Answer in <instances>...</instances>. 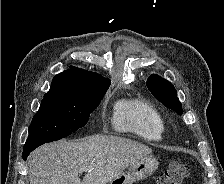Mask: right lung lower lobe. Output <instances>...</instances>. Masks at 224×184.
I'll return each instance as SVG.
<instances>
[{"mask_svg":"<svg viewBox=\"0 0 224 184\" xmlns=\"http://www.w3.org/2000/svg\"><path fill=\"white\" fill-rule=\"evenodd\" d=\"M34 149L33 148H29V149H26L24 148L23 149V159L26 160L27 156L30 154L31 151H33Z\"/></svg>","mask_w":224,"mask_h":184,"instance_id":"right-lung-lower-lobe-1","label":"right lung lower lobe"}]
</instances>
